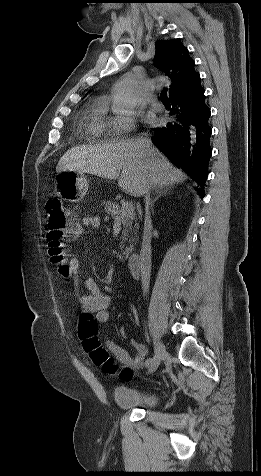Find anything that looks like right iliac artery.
<instances>
[{"label": "right iliac artery", "instance_id": "1", "mask_svg": "<svg viewBox=\"0 0 261 476\" xmlns=\"http://www.w3.org/2000/svg\"><path fill=\"white\" fill-rule=\"evenodd\" d=\"M151 358H148L146 361H145V365L146 367H149L150 363H151Z\"/></svg>", "mask_w": 261, "mask_h": 476}]
</instances>
